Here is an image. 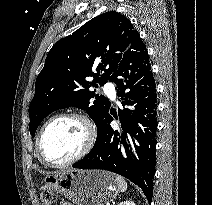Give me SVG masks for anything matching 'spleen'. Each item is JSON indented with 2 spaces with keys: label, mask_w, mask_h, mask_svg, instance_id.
Wrapping results in <instances>:
<instances>
[{
  "label": "spleen",
  "mask_w": 212,
  "mask_h": 205,
  "mask_svg": "<svg viewBox=\"0 0 212 205\" xmlns=\"http://www.w3.org/2000/svg\"><path fill=\"white\" fill-rule=\"evenodd\" d=\"M118 188L121 192H125L127 190V182L122 176L116 175L115 176Z\"/></svg>",
  "instance_id": "1"
}]
</instances>
